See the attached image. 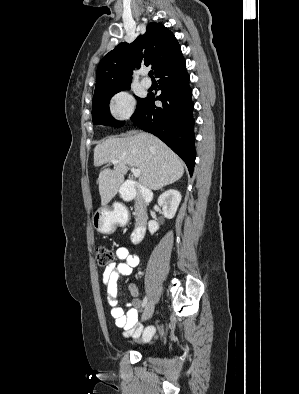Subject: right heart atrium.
Returning a JSON list of instances; mask_svg holds the SVG:
<instances>
[{"label":"right heart atrium","instance_id":"d8ad5b80","mask_svg":"<svg viewBox=\"0 0 299 394\" xmlns=\"http://www.w3.org/2000/svg\"><path fill=\"white\" fill-rule=\"evenodd\" d=\"M135 108V100L133 96L126 92H118L111 101V111L117 120L129 119Z\"/></svg>","mask_w":299,"mask_h":394}]
</instances>
